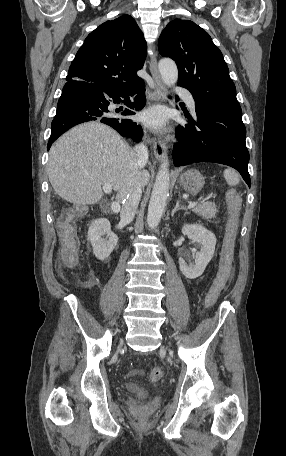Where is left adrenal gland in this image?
<instances>
[{
  "instance_id": "1",
  "label": "left adrenal gland",
  "mask_w": 286,
  "mask_h": 456,
  "mask_svg": "<svg viewBox=\"0 0 286 456\" xmlns=\"http://www.w3.org/2000/svg\"><path fill=\"white\" fill-rule=\"evenodd\" d=\"M179 202H180V201L177 200L176 206L174 207V209H173L172 212H171V216H172V217L174 216V214H175L176 211L182 210V209H184V210L186 209L184 206H180V205H179Z\"/></svg>"
}]
</instances>
